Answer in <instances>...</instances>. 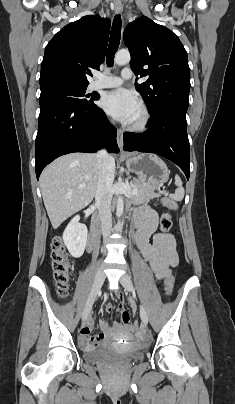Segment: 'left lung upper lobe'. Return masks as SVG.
Returning a JSON list of instances; mask_svg holds the SVG:
<instances>
[{
    "label": "left lung upper lobe",
    "instance_id": "obj_1",
    "mask_svg": "<svg viewBox=\"0 0 235 404\" xmlns=\"http://www.w3.org/2000/svg\"><path fill=\"white\" fill-rule=\"evenodd\" d=\"M124 43L136 75L148 76L136 90L152 115L165 110L186 112L189 105L190 68L187 52L178 36L143 16L128 24Z\"/></svg>",
    "mask_w": 235,
    "mask_h": 404
}]
</instances>
